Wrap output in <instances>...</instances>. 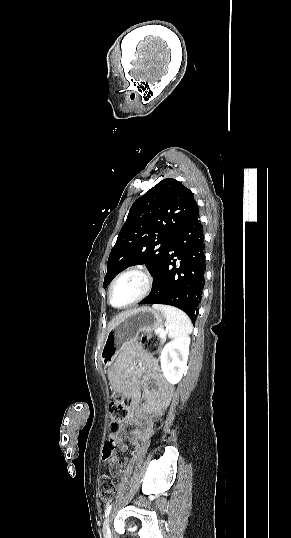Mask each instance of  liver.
Returning a JSON list of instances; mask_svg holds the SVG:
<instances>
[{"label":"liver","instance_id":"1","mask_svg":"<svg viewBox=\"0 0 291 538\" xmlns=\"http://www.w3.org/2000/svg\"><path fill=\"white\" fill-rule=\"evenodd\" d=\"M132 311L133 310L123 312V313L119 314L118 316H116L115 318H113L108 324L107 331L109 332L110 329H112L120 320H122L124 317H126Z\"/></svg>","mask_w":291,"mask_h":538}]
</instances>
